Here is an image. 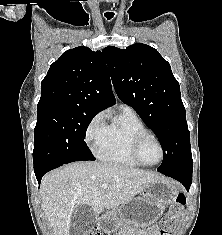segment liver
<instances>
[{"label": "liver", "instance_id": "obj_1", "mask_svg": "<svg viewBox=\"0 0 222 235\" xmlns=\"http://www.w3.org/2000/svg\"><path fill=\"white\" fill-rule=\"evenodd\" d=\"M163 179L154 172L103 163L74 162L46 174L41 182L42 209L53 235H70L71 217L82 204L99 216L142 192L151 183ZM108 184L102 188V184Z\"/></svg>", "mask_w": 222, "mask_h": 235}]
</instances>
